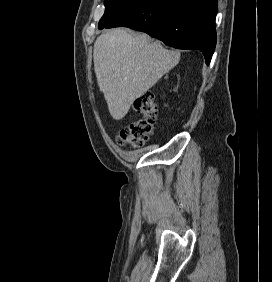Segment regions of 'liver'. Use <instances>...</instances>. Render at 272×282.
Segmentation results:
<instances>
[{
	"mask_svg": "<svg viewBox=\"0 0 272 282\" xmlns=\"http://www.w3.org/2000/svg\"><path fill=\"white\" fill-rule=\"evenodd\" d=\"M94 69L110 115L121 120L135 99L180 60V52L165 49L145 34L113 29L100 35L93 50Z\"/></svg>",
	"mask_w": 272,
	"mask_h": 282,
	"instance_id": "obj_1",
	"label": "liver"
}]
</instances>
